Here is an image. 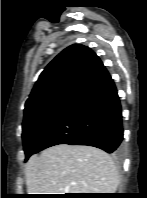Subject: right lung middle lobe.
Returning <instances> with one entry per match:
<instances>
[{"label":"right lung middle lobe","mask_w":147,"mask_h":198,"mask_svg":"<svg viewBox=\"0 0 147 198\" xmlns=\"http://www.w3.org/2000/svg\"><path fill=\"white\" fill-rule=\"evenodd\" d=\"M75 102H54L24 115L22 138L26 160L35 152L41 140L73 107Z\"/></svg>","instance_id":"dd1d6c3e"}]
</instances>
